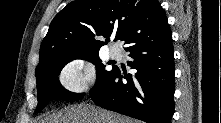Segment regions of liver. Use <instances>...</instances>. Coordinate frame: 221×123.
Returning <instances> with one entry per match:
<instances>
[{
    "instance_id": "6515ba94",
    "label": "liver",
    "mask_w": 221,
    "mask_h": 123,
    "mask_svg": "<svg viewBox=\"0 0 221 123\" xmlns=\"http://www.w3.org/2000/svg\"><path fill=\"white\" fill-rule=\"evenodd\" d=\"M42 123H133V120L90 104L81 103L53 113Z\"/></svg>"
}]
</instances>
